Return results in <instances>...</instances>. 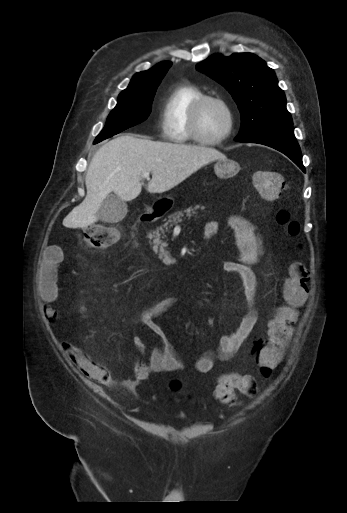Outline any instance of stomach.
I'll return each instance as SVG.
<instances>
[{"instance_id":"0dacf381","label":"stomach","mask_w":347,"mask_h":513,"mask_svg":"<svg viewBox=\"0 0 347 513\" xmlns=\"http://www.w3.org/2000/svg\"><path fill=\"white\" fill-rule=\"evenodd\" d=\"M240 170L239 164L230 159L218 160L214 164V172L219 178L227 179L236 175ZM172 200V199H168Z\"/></svg>"}]
</instances>
